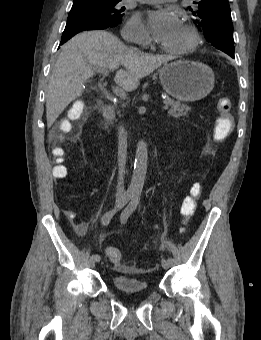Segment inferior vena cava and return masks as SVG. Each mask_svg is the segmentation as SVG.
<instances>
[{
  "instance_id": "obj_1",
  "label": "inferior vena cava",
  "mask_w": 261,
  "mask_h": 340,
  "mask_svg": "<svg viewBox=\"0 0 261 340\" xmlns=\"http://www.w3.org/2000/svg\"><path fill=\"white\" fill-rule=\"evenodd\" d=\"M127 158V133L124 127H120L118 133V180L116 197L122 198L125 195L124 176Z\"/></svg>"
}]
</instances>
